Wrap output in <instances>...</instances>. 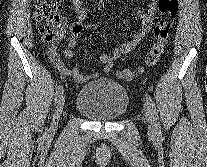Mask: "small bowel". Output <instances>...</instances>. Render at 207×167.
Masks as SVG:
<instances>
[{
  "instance_id": "c3829d8e",
  "label": "small bowel",
  "mask_w": 207,
  "mask_h": 167,
  "mask_svg": "<svg viewBox=\"0 0 207 167\" xmlns=\"http://www.w3.org/2000/svg\"><path fill=\"white\" fill-rule=\"evenodd\" d=\"M158 0H148L147 10L139 13L140 26L131 35V37L119 47L115 48L110 54H101L99 59L102 63V67L96 71L88 74L81 73L79 65L76 62L72 47L75 45L76 39L82 31V22L88 18V12L83 8L81 0H71L73 8L78 16V21L71 26V36L68 42V48L65 49L62 54L67 56L74 62L73 68H68L62 62L60 53L57 51L56 46H51L48 49V56L51 62L57 67L61 74L73 78L79 83L88 82L99 78L100 76L107 74L111 71L114 63L122 56L131 52L146 35L151 28L153 17L156 13ZM65 35V30H62L61 39Z\"/></svg>"
}]
</instances>
